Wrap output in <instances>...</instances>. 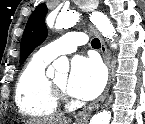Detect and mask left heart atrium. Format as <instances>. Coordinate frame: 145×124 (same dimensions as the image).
Masks as SVG:
<instances>
[{"label":"left heart atrium","instance_id":"39dd6f15","mask_svg":"<svg viewBox=\"0 0 145 124\" xmlns=\"http://www.w3.org/2000/svg\"><path fill=\"white\" fill-rule=\"evenodd\" d=\"M105 81L101 63L95 58L80 56L72 61L67 90L74 97L91 100L101 93Z\"/></svg>","mask_w":145,"mask_h":124}]
</instances>
